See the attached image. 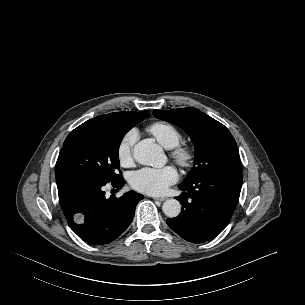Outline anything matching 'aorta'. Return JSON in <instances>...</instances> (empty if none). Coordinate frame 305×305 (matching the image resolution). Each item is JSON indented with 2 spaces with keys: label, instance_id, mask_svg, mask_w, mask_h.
Instances as JSON below:
<instances>
[{
  "label": "aorta",
  "instance_id": "1",
  "mask_svg": "<svg viewBox=\"0 0 305 305\" xmlns=\"http://www.w3.org/2000/svg\"><path fill=\"white\" fill-rule=\"evenodd\" d=\"M134 159L143 165L162 167L166 163V155L162 148L149 139L138 142L133 148ZM162 210L169 218L177 217L181 212V204L176 199H168Z\"/></svg>",
  "mask_w": 305,
  "mask_h": 305
}]
</instances>
